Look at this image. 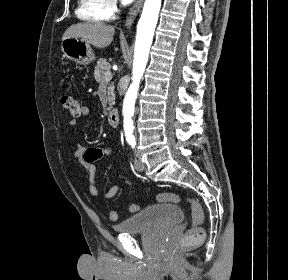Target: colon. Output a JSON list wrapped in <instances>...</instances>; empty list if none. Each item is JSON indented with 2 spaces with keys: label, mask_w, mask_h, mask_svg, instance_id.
<instances>
[{
  "label": "colon",
  "mask_w": 288,
  "mask_h": 280,
  "mask_svg": "<svg viewBox=\"0 0 288 280\" xmlns=\"http://www.w3.org/2000/svg\"><path fill=\"white\" fill-rule=\"evenodd\" d=\"M61 103L72 117L78 118L82 115V104L77 98L71 95H63ZM156 200L160 203H180L189 208L192 214L193 225L182 236L180 241L182 247H193L203 242L205 238V230L203 228L205 215L202 206L196 200L183 197L176 193L158 194ZM139 208L138 204H131L129 210L131 212H136ZM109 218L112 221H116L118 219L117 211L112 210L109 213Z\"/></svg>",
  "instance_id": "colon-1"
}]
</instances>
